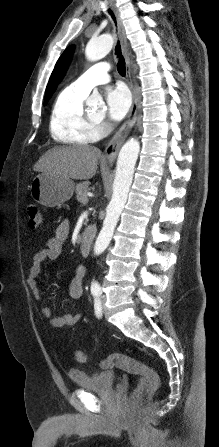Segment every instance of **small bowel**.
Returning <instances> with one entry per match:
<instances>
[{
	"mask_svg": "<svg viewBox=\"0 0 219 447\" xmlns=\"http://www.w3.org/2000/svg\"><path fill=\"white\" fill-rule=\"evenodd\" d=\"M69 232V221H61L55 230L54 236L47 241L46 246L43 249L36 252L33 256V263L28 273L27 284L36 300L41 299V290L38 279L41 274L42 263L46 260H56L60 256L63 249V243L68 238ZM85 272V266L78 265L74 276L69 281V295L72 299H79L82 296ZM41 315L44 318L49 319L52 326L59 328L74 326L83 317L81 313L65 312L59 317L52 318L51 309L49 307H43L41 309Z\"/></svg>",
	"mask_w": 219,
	"mask_h": 447,
	"instance_id": "small-bowel-1",
	"label": "small bowel"
}]
</instances>
